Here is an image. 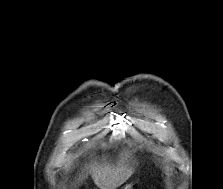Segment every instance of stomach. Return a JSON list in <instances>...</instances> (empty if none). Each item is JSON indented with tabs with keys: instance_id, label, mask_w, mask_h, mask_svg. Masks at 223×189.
<instances>
[{
	"instance_id": "1",
	"label": "stomach",
	"mask_w": 223,
	"mask_h": 189,
	"mask_svg": "<svg viewBox=\"0 0 223 189\" xmlns=\"http://www.w3.org/2000/svg\"><path fill=\"white\" fill-rule=\"evenodd\" d=\"M129 188V185H127L124 189H128Z\"/></svg>"
}]
</instances>
